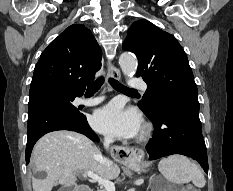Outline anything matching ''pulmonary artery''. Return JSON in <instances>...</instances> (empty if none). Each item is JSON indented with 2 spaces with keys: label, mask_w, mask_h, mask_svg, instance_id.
Segmentation results:
<instances>
[{
  "label": "pulmonary artery",
  "mask_w": 233,
  "mask_h": 191,
  "mask_svg": "<svg viewBox=\"0 0 233 191\" xmlns=\"http://www.w3.org/2000/svg\"><path fill=\"white\" fill-rule=\"evenodd\" d=\"M129 86L131 88H139L144 91L148 89L146 82H144L141 79L135 78V77L129 80ZM103 100H104L103 97L80 98L78 100V103L85 105V106H94V105L101 103Z\"/></svg>",
  "instance_id": "1"
}]
</instances>
